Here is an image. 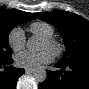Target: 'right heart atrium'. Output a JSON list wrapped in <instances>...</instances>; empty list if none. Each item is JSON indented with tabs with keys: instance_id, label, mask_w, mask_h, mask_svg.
Here are the masks:
<instances>
[{
	"instance_id": "d8ad5b80",
	"label": "right heart atrium",
	"mask_w": 89,
	"mask_h": 89,
	"mask_svg": "<svg viewBox=\"0 0 89 89\" xmlns=\"http://www.w3.org/2000/svg\"><path fill=\"white\" fill-rule=\"evenodd\" d=\"M8 43L12 50L20 51L25 47V34L21 28H14L8 35Z\"/></svg>"
}]
</instances>
